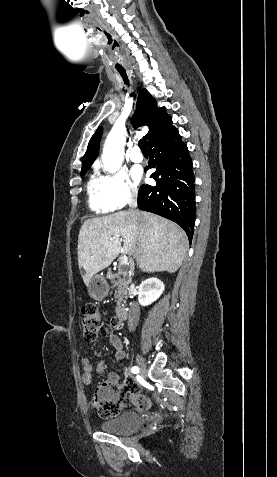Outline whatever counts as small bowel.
I'll return each mask as SVG.
<instances>
[{
	"instance_id": "obj_1",
	"label": "small bowel",
	"mask_w": 277,
	"mask_h": 477,
	"mask_svg": "<svg viewBox=\"0 0 277 477\" xmlns=\"http://www.w3.org/2000/svg\"><path fill=\"white\" fill-rule=\"evenodd\" d=\"M121 328H122V322L116 318H113L111 320L110 325L103 324L102 331H101V334L107 337L108 341L113 346L114 357L117 360H122L125 357V350H124L122 341L120 340L119 336L114 333L113 329H121ZM81 364L83 368L82 382L83 384L89 386L93 383V380H94L93 365L91 363V360L88 357L82 358ZM105 367H106V361H101L97 365L96 372L99 374L102 373ZM125 376L127 375L125 374ZM121 378H122V375L118 373H111L109 375V380L117 384L119 383ZM126 381H131L135 383L139 388V385L137 384V382L133 380L132 378L128 377Z\"/></svg>"
}]
</instances>
